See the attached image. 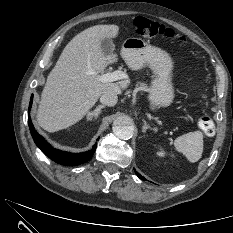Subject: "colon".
Masks as SVG:
<instances>
[{
	"mask_svg": "<svg viewBox=\"0 0 233 233\" xmlns=\"http://www.w3.org/2000/svg\"><path fill=\"white\" fill-rule=\"evenodd\" d=\"M133 25L135 27L136 33L143 37L152 38L156 36H163L167 38H173L176 36L172 29L145 17L134 18ZM180 40H184V38L181 37ZM198 126L200 130L208 136L213 135L215 132V124L210 116L200 117Z\"/></svg>",
	"mask_w": 233,
	"mask_h": 233,
	"instance_id": "1",
	"label": "colon"
}]
</instances>
